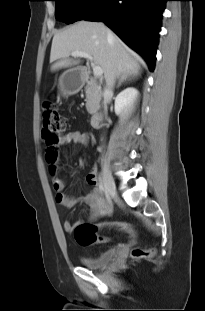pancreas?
<instances>
[{
	"label": "pancreas",
	"instance_id": "cf45deb5",
	"mask_svg": "<svg viewBox=\"0 0 205 311\" xmlns=\"http://www.w3.org/2000/svg\"><path fill=\"white\" fill-rule=\"evenodd\" d=\"M86 109L89 114H95L100 107L101 88L94 79H90L85 87Z\"/></svg>",
	"mask_w": 205,
	"mask_h": 311
}]
</instances>
